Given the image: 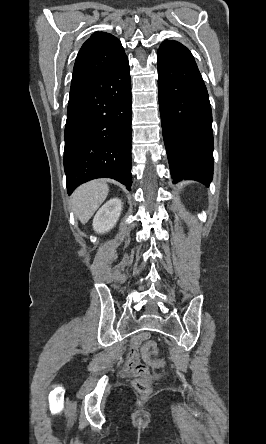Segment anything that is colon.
<instances>
[{
    "mask_svg": "<svg viewBox=\"0 0 266 444\" xmlns=\"http://www.w3.org/2000/svg\"><path fill=\"white\" fill-rule=\"evenodd\" d=\"M141 355L148 362L155 366L162 364L161 360L156 359L157 356V346L152 340L145 341L141 346ZM134 388L142 394H147L151 391L152 382L145 378H136L133 381Z\"/></svg>",
    "mask_w": 266,
    "mask_h": 444,
    "instance_id": "obj_1",
    "label": "colon"
}]
</instances>
